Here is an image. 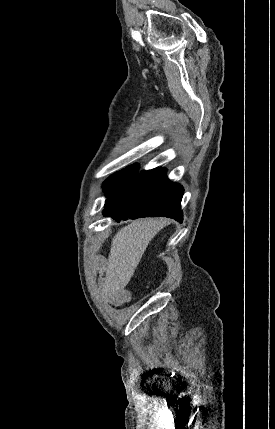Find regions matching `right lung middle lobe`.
Returning <instances> with one entry per match:
<instances>
[{
	"label": "right lung middle lobe",
	"instance_id": "right-lung-middle-lobe-1",
	"mask_svg": "<svg viewBox=\"0 0 275 429\" xmlns=\"http://www.w3.org/2000/svg\"><path fill=\"white\" fill-rule=\"evenodd\" d=\"M138 164L128 166L127 168L111 175L106 181V197H111L128 185L138 174Z\"/></svg>",
	"mask_w": 275,
	"mask_h": 429
}]
</instances>
